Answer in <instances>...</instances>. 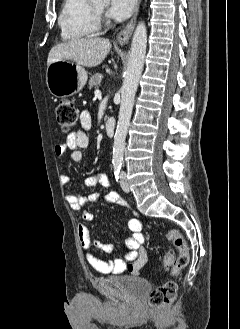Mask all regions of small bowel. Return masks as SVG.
<instances>
[{"label":"small bowel","mask_w":240,"mask_h":329,"mask_svg":"<svg viewBox=\"0 0 240 329\" xmlns=\"http://www.w3.org/2000/svg\"><path fill=\"white\" fill-rule=\"evenodd\" d=\"M92 117L89 111L84 110L80 115V128L71 132L64 143L57 144L54 153L57 158L61 159L65 156L66 151L70 150V159L75 163L83 160L82 149L89 144L88 130L91 127ZM60 182L64 185L69 183V176L66 173L60 175ZM87 188H91L96 184L108 187L110 181L108 176L103 173H97L88 177L85 182ZM99 199V194L90 193L83 195L80 193H71L66 196V200L70 207L75 211L81 212V222L78 224V239L81 247L85 252L87 263L97 272L102 274L129 272L134 276L141 274L144 265L147 262V251L142 246L144 243V235L142 233V224L138 218L132 217L128 220V228L132 235L125 240V254L122 258L110 260L97 257L92 249L97 247L106 253H112L115 250L113 244L104 243L94 239L88 227L87 222L93 219V214L85 209V205L89 202H95ZM106 201L119 206L127 207L128 203L116 192H110L106 196Z\"/></svg>","instance_id":"c3829d8e"}]
</instances>
